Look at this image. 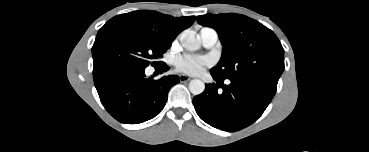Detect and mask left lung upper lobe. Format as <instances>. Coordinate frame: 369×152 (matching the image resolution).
<instances>
[{"label":"left lung upper lobe","mask_w":369,"mask_h":152,"mask_svg":"<svg viewBox=\"0 0 369 152\" xmlns=\"http://www.w3.org/2000/svg\"><path fill=\"white\" fill-rule=\"evenodd\" d=\"M197 21L214 28L223 45L221 60L211 74L222 80L277 85L284 70V49L270 29L235 13L206 14L198 16Z\"/></svg>","instance_id":"left-lung-upper-lobe-1"}]
</instances>
